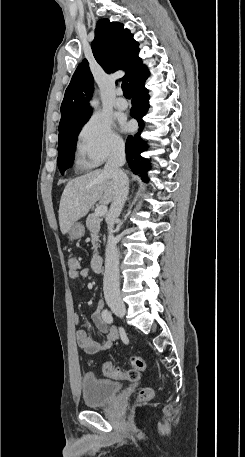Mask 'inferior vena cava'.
<instances>
[{
    "label": "inferior vena cava",
    "mask_w": 245,
    "mask_h": 457,
    "mask_svg": "<svg viewBox=\"0 0 245 457\" xmlns=\"http://www.w3.org/2000/svg\"><path fill=\"white\" fill-rule=\"evenodd\" d=\"M123 164H125V144L124 142H118L112 148L104 166L105 174H109L115 184V196L108 212V241L106 245L105 273L103 279L105 297H113V295H119L120 293L117 241L113 237V226L115 218L119 216L125 200H127L129 188L128 176L120 168Z\"/></svg>",
    "instance_id": "inferior-vena-cava-1"
}]
</instances>
